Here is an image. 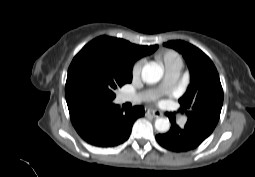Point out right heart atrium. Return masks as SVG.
Listing matches in <instances>:
<instances>
[{"label": "right heart atrium", "instance_id": "right-heart-atrium-1", "mask_svg": "<svg viewBox=\"0 0 255 177\" xmlns=\"http://www.w3.org/2000/svg\"><path fill=\"white\" fill-rule=\"evenodd\" d=\"M145 61L143 59L137 60L132 67V75L134 78H138L141 74Z\"/></svg>", "mask_w": 255, "mask_h": 177}]
</instances>
